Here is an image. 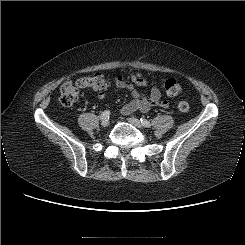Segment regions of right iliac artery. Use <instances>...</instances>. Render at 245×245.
Here are the masks:
<instances>
[{"mask_svg":"<svg viewBox=\"0 0 245 245\" xmlns=\"http://www.w3.org/2000/svg\"><path fill=\"white\" fill-rule=\"evenodd\" d=\"M109 115H110V111H109V110H105V111L101 114L100 119H101V120L106 119V118L109 119Z\"/></svg>","mask_w":245,"mask_h":245,"instance_id":"obj_1","label":"right iliac artery"}]
</instances>
